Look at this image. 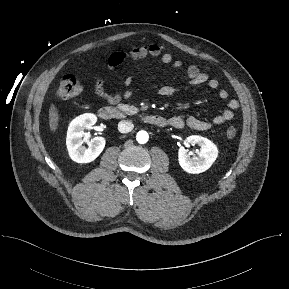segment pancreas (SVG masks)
<instances>
[{"label": "pancreas", "instance_id": "1", "mask_svg": "<svg viewBox=\"0 0 289 289\" xmlns=\"http://www.w3.org/2000/svg\"><path fill=\"white\" fill-rule=\"evenodd\" d=\"M119 107H120L123 111L127 112V113L130 114V115H135V114H137L138 111H139L138 108H136V107H134V106H130V105H119Z\"/></svg>", "mask_w": 289, "mask_h": 289}]
</instances>
